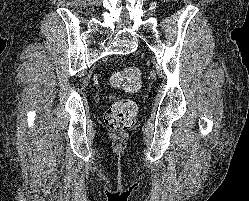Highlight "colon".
Listing matches in <instances>:
<instances>
[{
	"label": "colon",
	"mask_w": 249,
	"mask_h": 201,
	"mask_svg": "<svg viewBox=\"0 0 249 201\" xmlns=\"http://www.w3.org/2000/svg\"><path fill=\"white\" fill-rule=\"evenodd\" d=\"M141 73L135 68H126L114 72L110 77V82L114 87L122 88L125 91H136L141 85ZM137 115L136 104L128 99L114 101L107 109L104 122L107 128L116 132L129 130Z\"/></svg>",
	"instance_id": "colon-1"
}]
</instances>
